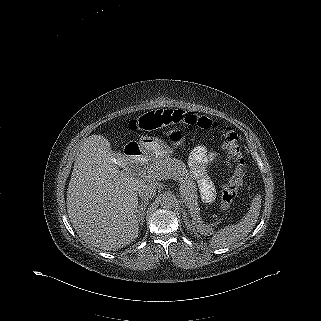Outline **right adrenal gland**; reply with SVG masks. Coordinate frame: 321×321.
<instances>
[{
  "label": "right adrenal gland",
  "instance_id": "2a0ac1e0",
  "mask_svg": "<svg viewBox=\"0 0 321 321\" xmlns=\"http://www.w3.org/2000/svg\"><path fill=\"white\" fill-rule=\"evenodd\" d=\"M147 205H148V201H144L137 207V216H138V221L140 226L144 224V215H145L144 211Z\"/></svg>",
  "mask_w": 321,
  "mask_h": 321
}]
</instances>
